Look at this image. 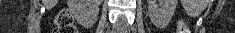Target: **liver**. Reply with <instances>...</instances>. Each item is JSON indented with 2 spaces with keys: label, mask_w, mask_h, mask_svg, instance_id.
Segmentation results:
<instances>
[{
  "label": "liver",
  "mask_w": 235,
  "mask_h": 33,
  "mask_svg": "<svg viewBox=\"0 0 235 33\" xmlns=\"http://www.w3.org/2000/svg\"><path fill=\"white\" fill-rule=\"evenodd\" d=\"M43 3H44V5H45L48 9H50V8H52V7L57 3V1H53V0H44Z\"/></svg>",
  "instance_id": "6515ba94"
}]
</instances>
